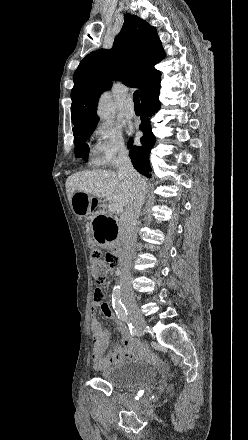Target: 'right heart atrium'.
Here are the masks:
<instances>
[{"label": "right heart atrium", "instance_id": "right-heart-atrium-1", "mask_svg": "<svg viewBox=\"0 0 248 440\" xmlns=\"http://www.w3.org/2000/svg\"><path fill=\"white\" fill-rule=\"evenodd\" d=\"M92 163L112 167L127 156L128 149L122 134L107 124L98 125L93 132Z\"/></svg>", "mask_w": 248, "mask_h": 440}]
</instances>
